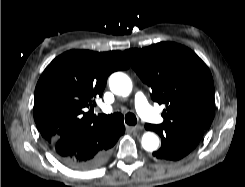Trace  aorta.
<instances>
[{
  "label": "aorta",
  "mask_w": 245,
  "mask_h": 187,
  "mask_svg": "<svg viewBox=\"0 0 245 187\" xmlns=\"http://www.w3.org/2000/svg\"><path fill=\"white\" fill-rule=\"evenodd\" d=\"M109 87L114 94L127 96L132 91L131 79L122 72L113 73L109 77ZM142 147L146 151H155L159 146V138L152 132L143 135Z\"/></svg>",
  "instance_id": "762f6f07"
}]
</instances>
